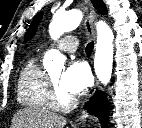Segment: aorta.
Returning <instances> with one entry per match:
<instances>
[{
  "label": "aorta",
  "mask_w": 142,
  "mask_h": 128,
  "mask_svg": "<svg viewBox=\"0 0 142 128\" xmlns=\"http://www.w3.org/2000/svg\"><path fill=\"white\" fill-rule=\"evenodd\" d=\"M83 18L80 10L57 11L49 25V34L52 39L60 38L65 32L76 29ZM114 34L111 28L103 21L97 25V42L94 58L95 73L101 83L106 85L112 74L114 55ZM65 62L64 56L57 50L48 51L43 59L44 68L51 71L62 68Z\"/></svg>",
  "instance_id": "762f6f07"
}]
</instances>
